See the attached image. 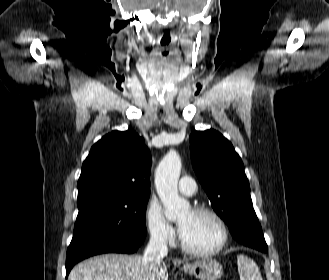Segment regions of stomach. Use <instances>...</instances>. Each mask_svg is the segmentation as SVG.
I'll return each mask as SVG.
<instances>
[{
    "label": "stomach",
    "instance_id": "stomach-1",
    "mask_svg": "<svg viewBox=\"0 0 329 280\" xmlns=\"http://www.w3.org/2000/svg\"><path fill=\"white\" fill-rule=\"evenodd\" d=\"M185 273L200 280H218L223 274L222 265L216 260L202 259L183 266Z\"/></svg>",
    "mask_w": 329,
    "mask_h": 280
}]
</instances>
